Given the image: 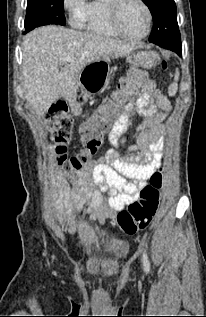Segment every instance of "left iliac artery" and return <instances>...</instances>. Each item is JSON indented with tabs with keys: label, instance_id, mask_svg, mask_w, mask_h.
Instances as JSON below:
<instances>
[{
	"label": "left iliac artery",
	"instance_id": "left-iliac-artery-1",
	"mask_svg": "<svg viewBox=\"0 0 206 317\" xmlns=\"http://www.w3.org/2000/svg\"><path fill=\"white\" fill-rule=\"evenodd\" d=\"M143 264L145 271L148 273L150 269V264L146 252H143Z\"/></svg>",
	"mask_w": 206,
	"mask_h": 317
}]
</instances>
